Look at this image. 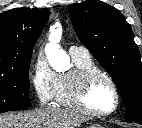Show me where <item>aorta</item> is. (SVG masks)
<instances>
[{
	"label": "aorta",
	"instance_id": "aorta-1",
	"mask_svg": "<svg viewBox=\"0 0 142 128\" xmlns=\"http://www.w3.org/2000/svg\"><path fill=\"white\" fill-rule=\"evenodd\" d=\"M62 37V27L55 24L50 29L49 43L45 46V52L49 63L56 71L67 70L70 66L69 56L60 49L59 42Z\"/></svg>",
	"mask_w": 142,
	"mask_h": 128
}]
</instances>
